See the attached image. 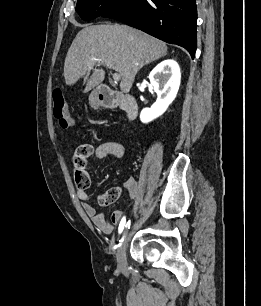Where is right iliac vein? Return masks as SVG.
<instances>
[{"mask_svg":"<svg viewBox=\"0 0 261 306\" xmlns=\"http://www.w3.org/2000/svg\"><path fill=\"white\" fill-rule=\"evenodd\" d=\"M128 239H129V231L125 230L124 233H123V241L120 245L119 252L117 254L118 268L122 272H127V269H128L127 257H126Z\"/></svg>","mask_w":261,"mask_h":306,"instance_id":"1","label":"right iliac vein"}]
</instances>
